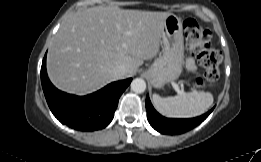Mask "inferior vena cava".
<instances>
[{
  "instance_id": "obj_1",
  "label": "inferior vena cava",
  "mask_w": 261,
  "mask_h": 162,
  "mask_svg": "<svg viewBox=\"0 0 261 162\" xmlns=\"http://www.w3.org/2000/svg\"><path fill=\"white\" fill-rule=\"evenodd\" d=\"M126 73V68L123 65L117 66L113 69V75L118 79L124 76Z\"/></svg>"
}]
</instances>
